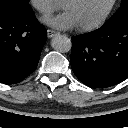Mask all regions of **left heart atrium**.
<instances>
[{"instance_id": "39dd6f15", "label": "left heart atrium", "mask_w": 128, "mask_h": 128, "mask_svg": "<svg viewBox=\"0 0 128 128\" xmlns=\"http://www.w3.org/2000/svg\"><path fill=\"white\" fill-rule=\"evenodd\" d=\"M43 21L47 25L61 30L71 29L77 26L76 20L72 14L66 10L58 15L46 17Z\"/></svg>"}]
</instances>
